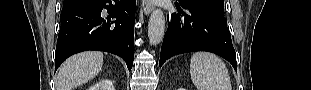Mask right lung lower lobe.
<instances>
[{"instance_id": "obj_1", "label": "right lung lower lobe", "mask_w": 311, "mask_h": 90, "mask_svg": "<svg viewBox=\"0 0 311 90\" xmlns=\"http://www.w3.org/2000/svg\"><path fill=\"white\" fill-rule=\"evenodd\" d=\"M135 4V0H76L63 6L55 70L75 53L100 50L122 57L130 71L134 59Z\"/></svg>"}]
</instances>
